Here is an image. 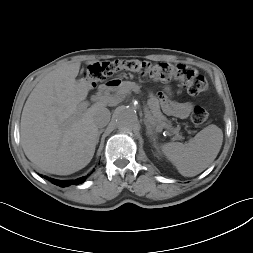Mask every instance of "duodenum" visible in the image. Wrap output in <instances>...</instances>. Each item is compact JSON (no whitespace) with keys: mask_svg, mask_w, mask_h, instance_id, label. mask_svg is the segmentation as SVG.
<instances>
[{"mask_svg":"<svg viewBox=\"0 0 253 253\" xmlns=\"http://www.w3.org/2000/svg\"><path fill=\"white\" fill-rule=\"evenodd\" d=\"M116 85V83L114 81L111 82H107L105 84H102L99 88H98V94H104L105 92L109 91L112 87H114Z\"/></svg>","mask_w":253,"mask_h":253,"instance_id":"duodenum-1","label":"duodenum"}]
</instances>
